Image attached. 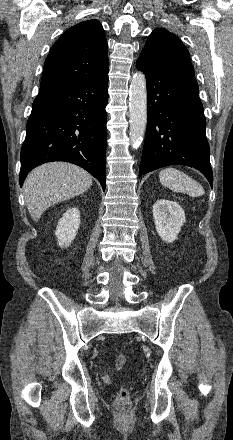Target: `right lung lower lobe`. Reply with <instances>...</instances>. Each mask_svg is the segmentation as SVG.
<instances>
[{"mask_svg": "<svg viewBox=\"0 0 233 440\" xmlns=\"http://www.w3.org/2000/svg\"><path fill=\"white\" fill-rule=\"evenodd\" d=\"M108 71L68 87L39 91L21 149L20 186L36 166L49 161L79 165L105 190Z\"/></svg>", "mask_w": 233, "mask_h": 440, "instance_id": "right-lung-lower-lobe-1", "label": "right lung lower lobe"}]
</instances>
